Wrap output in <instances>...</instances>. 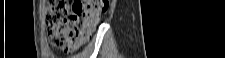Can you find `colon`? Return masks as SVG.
Masks as SVG:
<instances>
[{"label":"colon","instance_id":"colon-1","mask_svg":"<svg viewBox=\"0 0 225 58\" xmlns=\"http://www.w3.org/2000/svg\"><path fill=\"white\" fill-rule=\"evenodd\" d=\"M107 9L106 0H51L45 20L51 44L66 52L77 50Z\"/></svg>","mask_w":225,"mask_h":58}]
</instances>
